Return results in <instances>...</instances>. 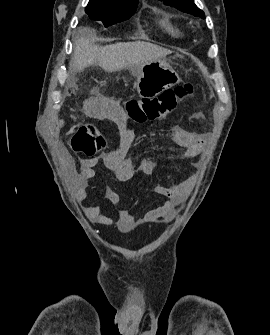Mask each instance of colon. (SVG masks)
Returning a JSON list of instances; mask_svg holds the SVG:
<instances>
[{
  "label": "colon",
  "instance_id": "1",
  "mask_svg": "<svg viewBox=\"0 0 270 335\" xmlns=\"http://www.w3.org/2000/svg\"><path fill=\"white\" fill-rule=\"evenodd\" d=\"M193 91L194 88L191 84H184L164 90L158 97L130 98L125 103V110L133 123H151L165 117ZM107 143L108 141L90 123L81 126L71 139L72 151L87 158L96 156Z\"/></svg>",
  "mask_w": 270,
  "mask_h": 335
}]
</instances>
